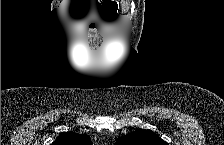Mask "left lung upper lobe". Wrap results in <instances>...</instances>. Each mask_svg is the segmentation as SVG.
<instances>
[{
    "label": "left lung upper lobe",
    "mask_w": 224,
    "mask_h": 145,
    "mask_svg": "<svg viewBox=\"0 0 224 145\" xmlns=\"http://www.w3.org/2000/svg\"><path fill=\"white\" fill-rule=\"evenodd\" d=\"M115 145H167L151 130H138L117 139Z\"/></svg>",
    "instance_id": "1"
}]
</instances>
